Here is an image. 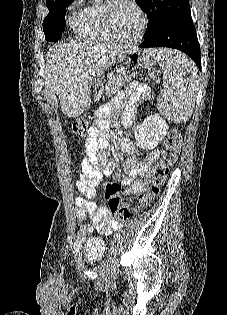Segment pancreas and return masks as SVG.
Returning <instances> with one entry per match:
<instances>
[{"instance_id":"pancreas-1","label":"pancreas","mask_w":227,"mask_h":315,"mask_svg":"<svg viewBox=\"0 0 227 315\" xmlns=\"http://www.w3.org/2000/svg\"><path fill=\"white\" fill-rule=\"evenodd\" d=\"M135 77V73L123 71L119 75H110L105 84V95L111 96L120 90V87Z\"/></svg>"}]
</instances>
